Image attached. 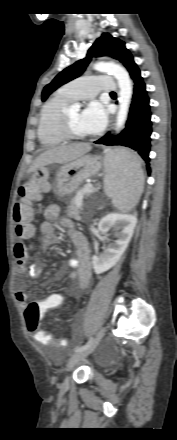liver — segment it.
I'll return each mask as SVG.
<instances>
[{"label": "liver", "mask_w": 177, "mask_h": 440, "mask_svg": "<svg viewBox=\"0 0 177 440\" xmlns=\"http://www.w3.org/2000/svg\"><path fill=\"white\" fill-rule=\"evenodd\" d=\"M91 148V145L88 143H75L49 149L35 159L27 173H31L45 165L53 163L65 164L71 162L88 153ZM117 163L115 164V167L118 169L119 165Z\"/></svg>", "instance_id": "liver-1"}]
</instances>
